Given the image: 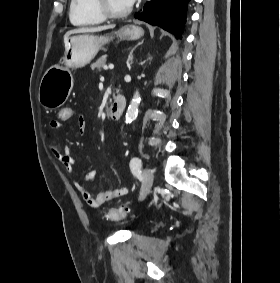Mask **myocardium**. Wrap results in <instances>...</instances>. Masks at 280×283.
I'll return each mask as SVG.
<instances>
[{"label":"myocardium","mask_w":280,"mask_h":283,"mask_svg":"<svg viewBox=\"0 0 280 283\" xmlns=\"http://www.w3.org/2000/svg\"><path fill=\"white\" fill-rule=\"evenodd\" d=\"M96 10L105 18V19H120L124 18L130 14L132 11V5H130L126 10L122 12L112 11L108 5L107 0H93Z\"/></svg>","instance_id":"f54148a6"}]
</instances>
